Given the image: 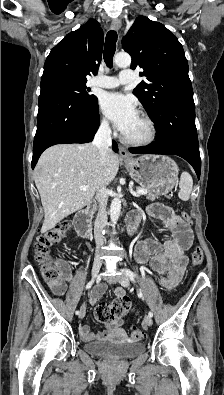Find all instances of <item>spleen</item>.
<instances>
[{
	"instance_id": "obj_1",
	"label": "spleen",
	"mask_w": 224,
	"mask_h": 395,
	"mask_svg": "<svg viewBox=\"0 0 224 395\" xmlns=\"http://www.w3.org/2000/svg\"><path fill=\"white\" fill-rule=\"evenodd\" d=\"M193 187V180L188 172H182L179 182V198L183 201H187L190 198V194Z\"/></svg>"
}]
</instances>
